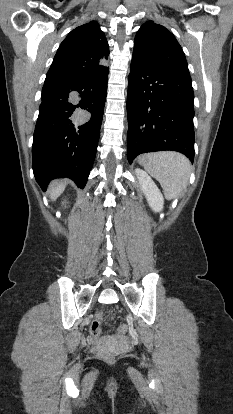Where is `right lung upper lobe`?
<instances>
[{"label":"right lung upper lobe","mask_w":233,"mask_h":414,"mask_svg":"<svg viewBox=\"0 0 233 414\" xmlns=\"http://www.w3.org/2000/svg\"><path fill=\"white\" fill-rule=\"evenodd\" d=\"M109 48L97 22L81 25L61 43L47 73L62 79L97 74L107 68Z\"/></svg>","instance_id":"obj_1"}]
</instances>
